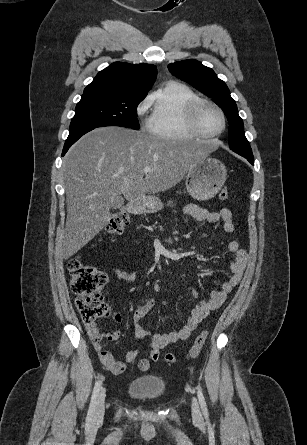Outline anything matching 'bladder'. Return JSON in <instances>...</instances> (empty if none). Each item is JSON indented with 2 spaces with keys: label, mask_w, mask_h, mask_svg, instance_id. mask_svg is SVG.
<instances>
[{
  "label": "bladder",
  "mask_w": 307,
  "mask_h": 445,
  "mask_svg": "<svg viewBox=\"0 0 307 445\" xmlns=\"http://www.w3.org/2000/svg\"><path fill=\"white\" fill-rule=\"evenodd\" d=\"M166 391V383L159 376L147 374L132 379L128 385V393L131 397L149 401L160 398Z\"/></svg>",
  "instance_id": "obj_1"
}]
</instances>
